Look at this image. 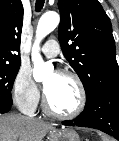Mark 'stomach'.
<instances>
[{
    "instance_id": "obj_1",
    "label": "stomach",
    "mask_w": 119,
    "mask_h": 141,
    "mask_svg": "<svg viewBox=\"0 0 119 141\" xmlns=\"http://www.w3.org/2000/svg\"><path fill=\"white\" fill-rule=\"evenodd\" d=\"M50 141H81L77 132L71 128L54 130L50 133Z\"/></svg>"
}]
</instances>
